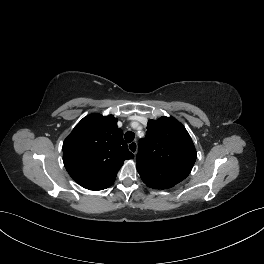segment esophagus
I'll return each mask as SVG.
<instances>
[{"label":"esophagus","instance_id":"obj_1","mask_svg":"<svg viewBox=\"0 0 264 264\" xmlns=\"http://www.w3.org/2000/svg\"><path fill=\"white\" fill-rule=\"evenodd\" d=\"M128 149L131 153H133L134 155L137 152V143L135 141L131 142L128 144Z\"/></svg>","mask_w":264,"mask_h":264}]
</instances>
